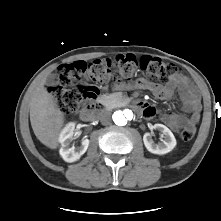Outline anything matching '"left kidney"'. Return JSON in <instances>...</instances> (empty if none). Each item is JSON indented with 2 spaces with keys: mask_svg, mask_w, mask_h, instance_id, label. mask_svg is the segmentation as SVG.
<instances>
[{
  "mask_svg": "<svg viewBox=\"0 0 221 221\" xmlns=\"http://www.w3.org/2000/svg\"><path fill=\"white\" fill-rule=\"evenodd\" d=\"M153 128L163 133L164 140L159 144H155L150 133H145L143 136V142L146 149L149 152L158 155H163L172 151L177 142L171 130L163 124H155Z\"/></svg>",
  "mask_w": 221,
  "mask_h": 221,
  "instance_id": "5707ae66",
  "label": "left kidney"
}]
</instances>
